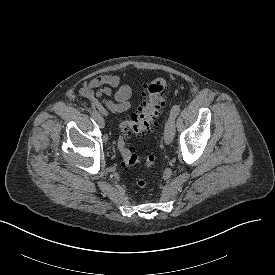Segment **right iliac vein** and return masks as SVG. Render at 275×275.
Instances as JSON below:
<instances>
[{
  "label": "right iliac vein",
  "instance_id": "right-iliac-vein-1",
  "mask_svg": "<svg viewBox=\"0 0 275 275\" xmlns=\"http://www.w3.org/2000/svg\"><path fill=\"white\" fill-rule=\"evenodd\" d=\"M95 120L100 128L104 127L105 122H104L103 117L100 114L98 115V117Z\"/></svg>",
  "mask_w": 275,
  "mask_h": 275
}]
</instances>
